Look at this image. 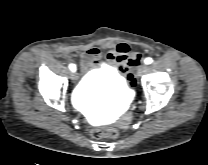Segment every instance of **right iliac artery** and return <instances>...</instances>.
<instances>
[{"instance_id":"82829eb1","label":"right iliac artery","mask_w":208,"mask_h":165,"mask_svg":"<svg viewBox=\"0 0 208 165\" xmlns=\"http://www.w3.org/2000/svg\"><path fill=\"white\" fill-rule=\"evenodd\" d=\"M69 68L71 71L75 72L76 71V66L74 64H70Z\"/></svg>"}]
</instances>
